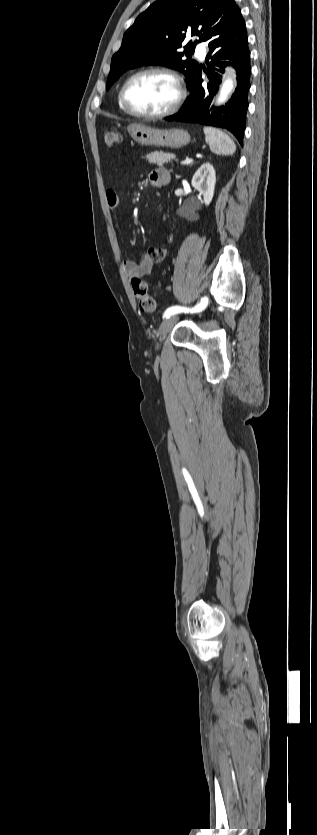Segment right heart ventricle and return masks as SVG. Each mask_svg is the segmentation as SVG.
Returning <instances> with one entry per match:
<instances>
[{"label":"right heart ventricle","instance_id":"e07e8e85","mask_svg":"<svg viewBox=\"0 0 317 835\" xmlns=\"http://www.w3.org/2000/svg\"><path fill=\"white\" fill-rule=\"evenodd\" d=\"M118 106H119V108H120V110H121V111H123V112H125V113H128V112L126 111V109L124 108V106L122 105V103H121V100H120V92H119V94H118Z\"/></svg>","mask_w":317,"mask_h":835}]
</instances>
